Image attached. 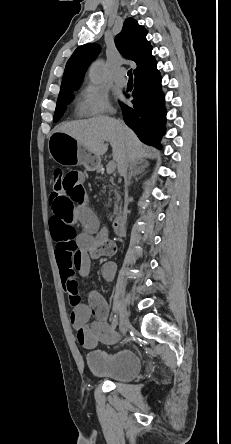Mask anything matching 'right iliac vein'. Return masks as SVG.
Returning <instances> with one entry per match:
<instances>
[{
	"instance_id": "63e3f726",
	"label": "right iliac vein",
	"mask_w": 231,
	"mask_h": 444,
	"mask_svg": "<svg viewBox=\"0 0 231 444\" xmlns=\"http://www.w3.org/2000/svg\"><path fill=\"white\" fill-rule=\"evenodd\" d=\"M129 327H130V324H129V320H128L127 316L125 314H122L120 316V330H121L122 336H124L126 334Z\"/></svg>"
}]
</instances>
